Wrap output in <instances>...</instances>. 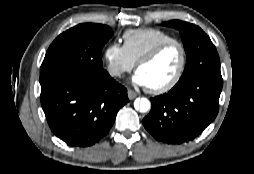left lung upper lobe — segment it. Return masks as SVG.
<instances>
[{
  "label": "left lung upper lobe",
  "instance_id": "obj_1",
  "mask_svg": "<svg viewBox=\"0 0 254 174\" xmlns=\"http://www.w3.org/2000/svg\"><path fill=\"white\" fill-rule=\"evenodd\" d=\"M163 25L179 30L187 56L178 85L201 77H221L217 50L200 27L179 20L168 21Z\"/></svg>",
  "mask_w": 254,
  "mask_h": 174
}]
</instances>
